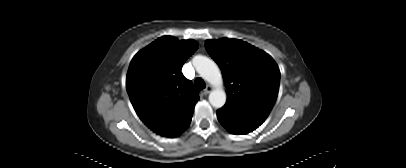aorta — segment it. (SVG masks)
<instances>
[{
	"label": "aorta",
	"instance_id": "obj_1",
	"mask_svg": "<svg viewBox=\"0 0 406 168\" xmlns=\"http://www.w3.org/2000/svg\"><path fill=\"white\" fill-rule=\"evenodd\" d=\"M193 65L200 76L215 87L209 94L210 104L214 108L223 107L226 102V93L222 88L223 79L217 64L205 56H196L193 59Z\"/></svg>",
	"mask_w": 406,
	"mask_h": 168
}]
</instances>
